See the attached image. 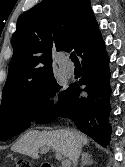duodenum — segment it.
<instances>
[{"label": "duodenum", "instance_id": "1", "mask_svg": "<svg viewBox=\"0 0 125 167\" xmlns=\"http://www.w3.org/2000/svg\"><path fill=\"white\" fill-rule=\"evenodd\" d=\"M42 167H53V166L50 165V164H46V163H45V164L42 165Z\"/></svg>", "mask_w": 125, "mask_h": 167}]
</instances>
